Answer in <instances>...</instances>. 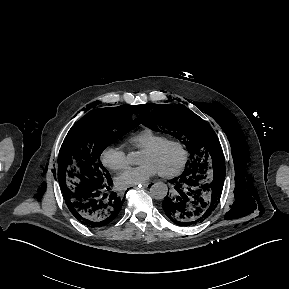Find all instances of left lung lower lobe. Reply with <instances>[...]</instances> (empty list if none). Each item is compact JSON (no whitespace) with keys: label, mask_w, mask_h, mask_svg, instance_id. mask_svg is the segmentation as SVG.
<instances>
[{"label":"left lung lower lobe","mask_w":289,"mask_h":289,"mask_svg":"<svg viewBox=\"0 0 289 289\" xmlns=\"http://www.w3.org/2000/svg\"><path fill=\"white\" fill-rule=\"evenodd\" d=\"M225 172L221 164L211 171L189 170L170 180L174 189L162 203L166 216L180 226L203 222L219 203Z\"/></svg>","instance_id":"0a47b994"}]
</instances>
